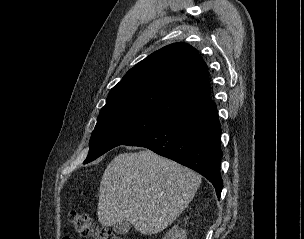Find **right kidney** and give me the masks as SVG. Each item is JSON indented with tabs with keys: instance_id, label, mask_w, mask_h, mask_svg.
<instances>
[{
	"instance_id": "ca27d5eb",
	"label": "right kidney",
	"mask_w": 304,
	"mask_h": 239,
	"mask_svg": "<svg viewBox=\"0 0 304 239\" xmlns=\"http://www.w3.org/2000/svg\"><path fill=\"white\" fill-rule=\"evenodd\" d=\"M163 239H186V233L174 226Z\"/></svg>"
}]
</instances>
